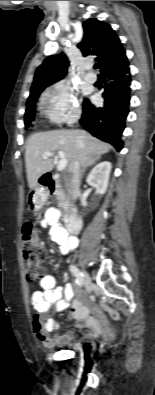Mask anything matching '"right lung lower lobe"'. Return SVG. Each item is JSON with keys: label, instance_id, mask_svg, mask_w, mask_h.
<instances>
[{"label": "right lung lower lobe", "instance_id": "1", "mask_svg": "<svg viewBox=\"0 0 155 395\" xmlns=\"http://www.w3.org/2000/svg\"><path fill=\"white\" fill-rule=\"evenodd\" d=\"M105 80L103 106H94L88 99L83 103L80 123L95 137L111 143L118 151L123 148L121 135L129 112L131 75L129 62L102 72Z\"/></svg>", "mask_w": 155, "mask_h": 395}]
</instances>
